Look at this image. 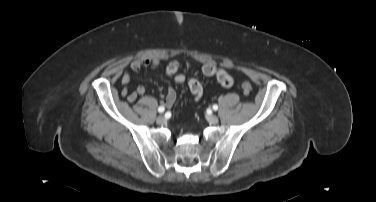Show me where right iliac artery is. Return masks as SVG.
Here are the masks:
<instances>
[{"label":"right iliac artery","instance_id":"obj_1","mask_svg":"<svg viewBox=\"0 0 376 202\" xmlns=\"http://www.w3.org/2000/svg\"><path fill=\"white\" fill-rule=\"evenodd\" d=\"M164 110H165V108H164L163 106H160V107L158 108V112H159V113H163Z\"/></svg>","mask_w":376,"mask_h":202}]
</instances>
